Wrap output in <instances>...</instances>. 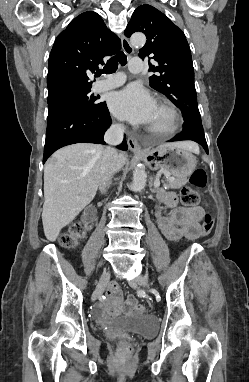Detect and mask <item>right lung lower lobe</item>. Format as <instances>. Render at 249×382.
<instances>
[{"label": "right lung lower lobe", "mask_w": 249, "mask_h": 382, "mask_svg": "<svg viewBox=\"0 0 249 382\" xmlns=\"http://www.w3.org/2000/svg\"><path fill=\"white\" fill-rule=\"evenodd\" d=\"M111 118L105 102L94 113H77L47 123L43 163L57 149L74 143H102ZM118 148H128L124 140Z\"/></svg>", "instance_id": "right-lung-lower-lobe-1"}]
</instances>
